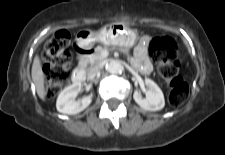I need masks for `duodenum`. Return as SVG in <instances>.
I'll return each mask as SVG.
<instances>
[{
  "instance_id": "obj_1",
  "label": "duodenum",
  "mask_w": 225,
  "mask_h": 155,
  "mask_svg": "<svg viewBox=\"0 0 225 155\" xmlns=\"http://www.w3.org/2000/svg\"><path fill=\"white\" fill-rule=\"evenodd\" d=\"M79 55L80 57L85 56L86 54L89 53V51L79 48L78 49ZM86 78V73H85V69L82 65H79L72 74V81L76 84L78 83H82Z\"/></svg>"
}]
</instances>
